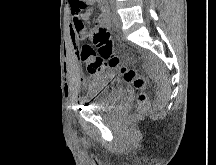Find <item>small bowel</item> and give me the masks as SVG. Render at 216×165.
I'll return each instance as SVG.
<instances>
[{"label": "small bowel", "mask_w": 216, "mask_h": 165, "mask_svg": "<svg viewBox=\"0 0 216 165\" xmlns=\"http://www.w3.org/2000/svg\"><path fill=\"white\" fill-rule=\"evenodd\" d=\"M86 6L88 9L86 10L85 5H76V8L74 9L72 7V21L70 23L69 27V39L70 44L75 51L78 60L81 59L80 57V50H79V40H83L88 38V33L85 30V22L90 21L91 19V7L95 4L99 5L101 10V15L97 19L98 25L101 26H109L110 20H109V11L105 4V0H85ZM88 74L91 76H94L98 73H91L87 70ZM82 80V79H81Z\"/></svg>", "instance_id": "c3829d8e"}]
</instances>
